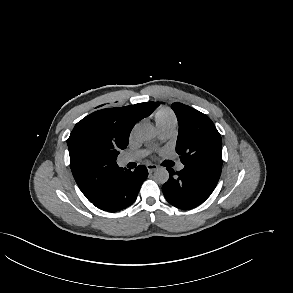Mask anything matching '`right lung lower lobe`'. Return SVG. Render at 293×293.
Listing matches in <instances>:
<instances>
[{"mask_svg": "<svg viewBox=\"0 0 293 293\" xmlns=\"http://www.w3.org/2000/svg\"><path fill=\"white\" fill-rule=\"evenodd\" d=\"M147 175V168L143 165H139L133 172L123 170L109 181L103 194L92 203L97 208L109 212L125 209L136 200Z\"/></svg>", "mask_w": 293, "mask_h": 293, "instance_id": "98d812e1", "label": "right lung lower lobe"}]
</instances>
